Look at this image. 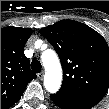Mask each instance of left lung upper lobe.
I'll return each instance as SVG.
<instances>
[{"label": "left lung upper lobe", "instance_id": "1", "mask_svg": "<svg viewBox=\"0 0 109 109\" xmlns=\"http://www.w3.org/2000/svg\"><path fill=\"white\" fill-rule=\"evenodd\" d=\"M59 55L63 68L60 91L95 105L109 88V47L89 26L61 20L40 30Z\"/></svg>", "mask_w": 109, "mask_h": 109}]
</instances>
